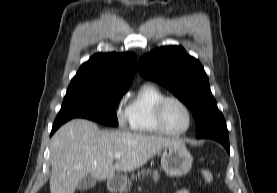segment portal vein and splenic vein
Segmentation results:
<instances>
[{
    "instance_id": "18ae733b",
    "label": "portal vein and splenic vein",
    "mask_w": 277,
    "mask_h": 193,
    "mask_svg": "<svg viewBox=\"0 0 277 193\" xmlns=\"http://www.w3.org/2000/svg\"><path fill=\"white\" fill-rule=\"evenodd\" d=\"M121 156H122V154H121V153H116V154H115V159H120V158H121Z\"/></svg>"
}]
</instances>
